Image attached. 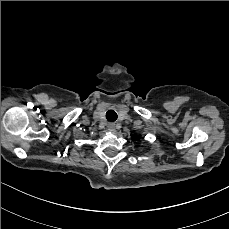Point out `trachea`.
I'll use <instances>...</instances> for the list:
<instances>
[{"instance_id": "obj_1", "label": "trachea", "mask_w": 229, "mask_h": 229, "mask_svg": "<svg viewBox=\"0 0 229 229\" xmlns=\"http://www.w3.org/2000/svg\"><path fill=\"white\" fill-rule=\"evenodd\" d=\"M117 118H118L117 113L114 110L107 111V113H106V119L109 122H114V121H116Z\"/></svg>"}]
</instances>
